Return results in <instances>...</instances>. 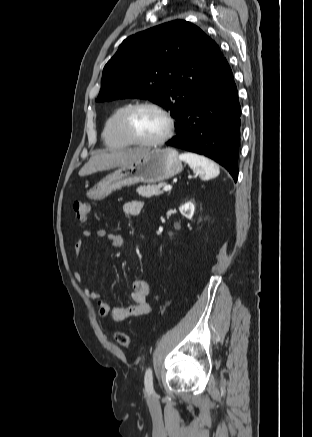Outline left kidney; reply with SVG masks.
Wrapping results in <instances>:
<instances>
[{
    "label": "left kidney",
    "mask_w": 312,
    "mask_h": 437,
    "mask_svg": "<svg viewBox=\"0 0 312 437\" xmlns=\"http://www.w3.org/2000/svg\"><path fill=\"white\" fill-rule=\"evenodd\" d=\"M179 210L188 219H192L195 212V205L193 202H186L180 206Z\"/></svg>",
    "instance_id": "obj_1"
}]
</instances>
